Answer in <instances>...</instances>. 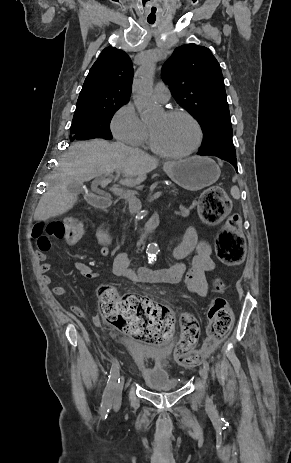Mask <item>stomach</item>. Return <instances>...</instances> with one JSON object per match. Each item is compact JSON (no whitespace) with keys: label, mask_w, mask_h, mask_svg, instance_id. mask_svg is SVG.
Returning <instances> with one entry per match:
<instances>
[{"label":"stomach","mask_w":291,"mask_h":463,"mask_svg":"<svg viewBox=\"0 0 291 463\" xmlns=\"http://www.w3.org/2000/svg\"><path fill=\"white\" fill-rule=\"evenodd\" d=\"M164 171L179 186L191 191L214 184L221 174L215 161L200 156L168 162L164 165Z\"/></svg>","instance_id":"0dacf381"}]
</instances>
